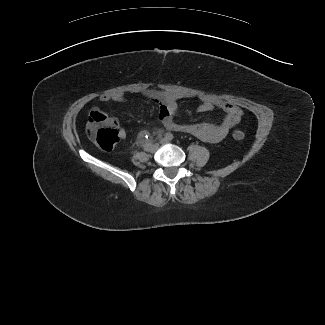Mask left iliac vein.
<instances>
[{
	"mask_svg": "<svg viewBox=\"0 0 325 325\" xmlns=\"http://www.w3.org/2000/svg\"><path fill=\"white\" fill-rule=\"evenodd\" d=\"M160 142H161L162 144H166V143L169 142V140H167L166 138H164V139H162Z\"/></svg>",
	"mask_w": 325,
	"mask_h": 325,
	"instance_id": "4c4485c4",
	"label": "left iliac vein"
}]
</instances>
